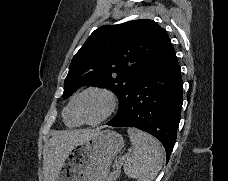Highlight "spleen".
Listing matches in <instances>:
<instances>
[{
    "mask_svg": "<svg viewBox=\"0 0 228 181\" xmlns=\"http://www.w3.org/2000/svg\"><path fill=\"white\" fill-rule=\"evenodd\" d=\"M133 153L126 157L125 175L136 181H153L164 163L163 149L152 135L139 129H127Z\"/></svg>",
    "mask_w": 228,
    "mask_h": 181,
    "instance_id": "spleen-1",
    "label": "spleen"
}]
</instances>
